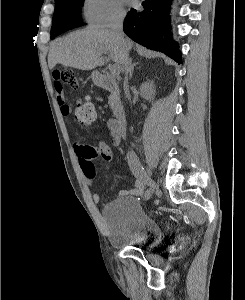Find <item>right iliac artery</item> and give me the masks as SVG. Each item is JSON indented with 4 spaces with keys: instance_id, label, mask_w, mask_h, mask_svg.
Returning <instances> with one entry per match:
<instances>
[{
    "instance_id": "1",
    "label": "right iliac artery",
    "mask_w": 245,
    "mask_h": 300,
    "mask_svg": "<svg viewBox=\"0 0 245 300\" xmlns=\"http://www.w3.org/2000/svg\"><path fill=\"white\" fill-rule=\"evenodd\" d=\"M127 159L129 167L134 174V176L139 179L144 185H149V177L146 175L144 168L142 167L137 155L133 151H129L127 153ZM152 194H154V187L150 186L149 189L145 193V197L143 200L144 204H147L149 202V198L152 197Z\"/></svg>"
}]
</instances>
